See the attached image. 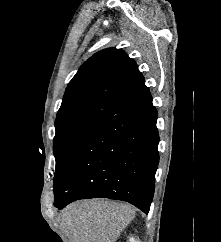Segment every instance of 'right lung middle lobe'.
Returning <instances> with one entry per match:
<instances>
[{
	"label": "right lung middle lobe",
	"mask_w": 221,
	"mask_h": 242,
	"mask_svg": "<svg viewBox=\"0 0 221 242\" xmlns=\"http://www.w3.org/2000/svg\"><path fill=\"white\" fill-rule=\"evenodd\" d=\"M101 122L83 121L56 128L53 151L56 159L54 187L72 155Z\"/></svg>",
	"instance_id": "dd1d6c3e"
}]
</instances>
